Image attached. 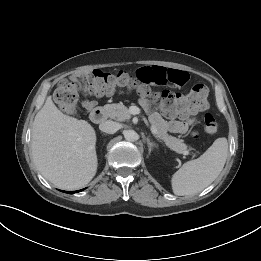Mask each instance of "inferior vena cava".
Here are the masks:
<instances>
[{"instance_id": "obj_1", "label": "inferior vena cava", "mask_w": 261, "mask_h": 261, "mask_svg": "<svg viewBox=\"0 0 261 261\" xmlns=\"http://www.w3.org/2000/svg\"><path fill=\"white\" fill-rule=\"evenodd\" d=\"M99 129L102 132H105V133H108V134H114L115 132H117L120 129V125L117 122L107 120L105 122H102L99 125Z\"/></svg>"}]
</instances>
